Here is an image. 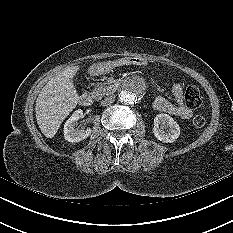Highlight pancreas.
Instances as JSON below:
<instances>
[{
  "instance_id": "cf45deb5",
  "label": "pancreas",
  "mask_w": 233,
  "mask_h": 233,
  "mask_svg": "<svg viewBox=\"0 0 233 233\" xmlns=\"http://www.w3.org/2000/svg\"><path fill=\"white\" fill-rule=\"evenodd\" d=\"M114 90L115 87L109 85L108 83H96L95 88L91 94L95 99H101L105 95L112 93Z\"/></svg>"
}]
</instances>
